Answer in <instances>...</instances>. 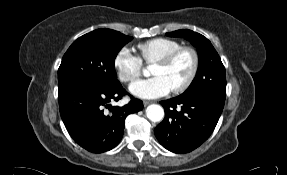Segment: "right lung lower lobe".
<instances>
[{"label": "right lung lower lobe", "mask_w": 287, "mask_h": 175, "mask_svg": "<svg viewBox=\"0 0 287 175\" xmlns=\"http://www.w3.org/2000/svg\"><path fill=\"white\" fill-rule=\"evenodd\" d=\"M125 94L121 84L112 89L75 84L58 90L60 115L74 141L93 153L117 146L127 115L143 108L141 100L132 98L127 105L112 109L109 102L118 101Z\"/></svg>", "instance_id": "1"}]
</instances>
